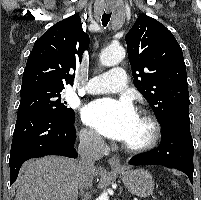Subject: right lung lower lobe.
<instances>
[{
    "label": "right lung lower lobe",
    "instance_id": "obj_1",
    "mask_svg": "<svg viewBox=\"0 0 201 200\" xmlns=\"http://www.w3.org/2000/svg\"><path fill=\"white\" fill-rule=\"evenodd\" d=\"M74 120L45 112L17 117L9 159L10 185L15 182L20 167L28 159L45 155L77 157Z\"/></svg>",
    "mask_w": 201,
    "mask_h": 200
}]
</instances>
